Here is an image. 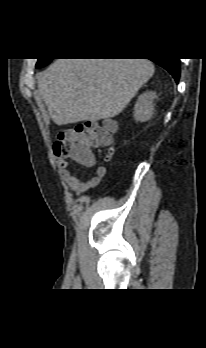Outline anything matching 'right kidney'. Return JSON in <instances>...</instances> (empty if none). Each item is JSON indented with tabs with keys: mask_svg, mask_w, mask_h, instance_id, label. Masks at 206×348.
I'll list each match as a JSON object with an SVG mask.
<instances>
[{
	"mask_svg": "<svg viewBox=\"0 0 206 348\" xmlns=\"http://www.w3.org/2000/svg\"><path fill=\"white\" fill-rule=\"evenodd\" d=\"M156 93L147 91L138 97L134 107V118L137 122H145L152 118Z\"/></svg>",
	"mask_w": 206,
	"mask_h": 348,
	"instance_id": "1",
	"label": "right kidney"
}]
</instances>
